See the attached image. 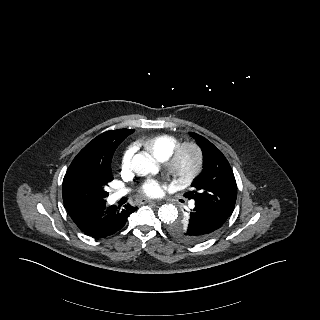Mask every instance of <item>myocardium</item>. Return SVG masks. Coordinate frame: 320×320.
Masks as SVG:
<instances>
[{"mask_svg":"<svg viewBox=\"0 0 320 320\" xmlns=\"http://www.w3.org/2000/svg\"><path fill=\"white\" fill-rule=\"evenodd\" d=\"M187 154L192 156V165L185 169L183 160ZM203 151L193 141H185L178 144L165 160V170L170 176L172 183L179 187H185L193 182L203 169Z\"/></svg>","mask_w":320,"mask_h":320,"instance_id":"1","label":"myocardium"}]
</instances>
